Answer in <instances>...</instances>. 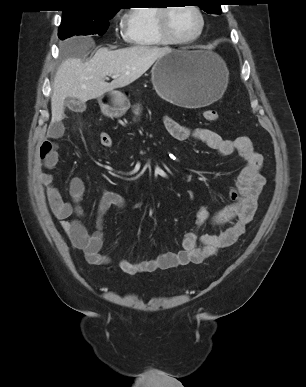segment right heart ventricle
I'll return each instance as SVG.
<instances>
[{"label": "right heart ventricle", "instance_id": "obj_1", "mask_svg": "<svg viewBox=\"0 0 306 387\" xmlns=\"http://www.w3.org/2000/svg\"><path fill=\"white\" fill-rule=\"evenodd\" d=\"M154 6L131 9L124 18V38L132 46L153 48L167 43L157 29V13Z\"/></svg>", "mask_w": 306, "mask_h": 387}]
</instances>
